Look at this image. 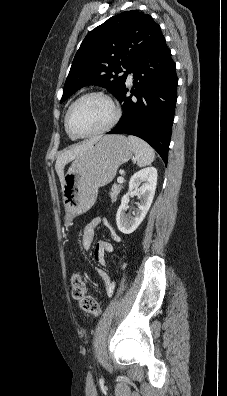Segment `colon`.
Returning a JSON list of instances; mask_svg holds the SVG:
<instances>
[{"mask_svg": "<svg viewBox=\"0 0 227 396\" xmlns=\"http://www.w3.org/2000/svg\"><path fill=\"white\" fill-rule=\"evenodd\" d=\"M72 296L78 301L83 312L98 315L101 311L97 300L86 293V285L82 276L75 273L71 277Z\"/></svg>", "mask_w": 227, "mask_h": 396, "instance_id": "5ec220e1", "label": "colon"}]
</instances>
